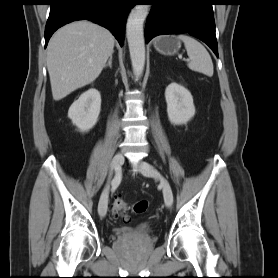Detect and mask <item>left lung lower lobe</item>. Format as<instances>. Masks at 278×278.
<instances>
[{"mask_svg":"<svg viewBox=\"0 0 278 278\" xmlns=\"http://www.w3.org/2000/svg\"><path fill=\"white\" fill-rule=\"evenodd\" d=\"M145 39L163 34L189 33L205 42L218 57L212 5L214 0H151Z\"/></svg>","mask_w":278,"mask_h":278,"instance_id":"0a47b994","label":"left lung lower lobe"}]
</instances>
